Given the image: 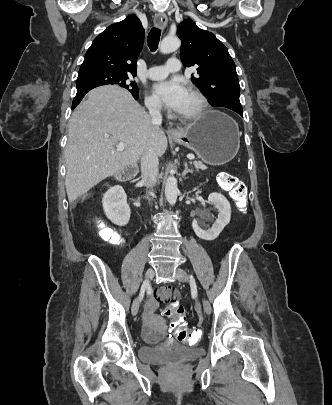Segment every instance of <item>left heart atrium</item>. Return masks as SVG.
Instances as JSON below:
<instances>
[{"label": "left heart atrium", "instance_id": "1", "mask_svg": "<svg viewBox=\"0 0 332 405\" xmlns=\"http://www.w3.org/2000/svg\"><path fill=\"white\" fill-rule=\"evenodd\" d=\"M153 93L160 102L177 112L184 102L187 89L179 79H171L154 84Z\"/></svg>", "mask_w": 332, "mask_h": 405}]
</instances>
